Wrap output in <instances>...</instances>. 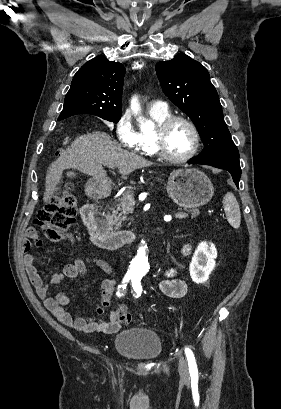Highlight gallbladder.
I'll list each match as a JSON object with an SVG mask.
<instances>
[{"instance_id": "1", "label": "gallbladder", "mask_w": 281, "mask_h": 409, "mask_svg": "<svg viewBox=\"0 0 281 409\" xmlns=\"http://www.w3.org/2000/svg\"><path fill=\"white\" fill-rule=\"evenodd\" d=\"M69 174H74V172H69Z\"/></svg>"}]
</instances>
